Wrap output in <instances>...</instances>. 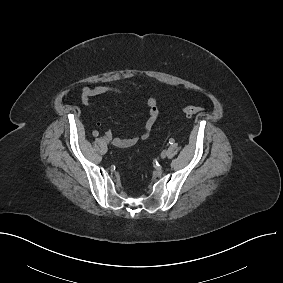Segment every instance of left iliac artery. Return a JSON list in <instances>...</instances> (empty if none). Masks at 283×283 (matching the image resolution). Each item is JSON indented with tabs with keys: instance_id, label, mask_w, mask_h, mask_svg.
Returning a JSON list of instances; mask_svg holds the SVG:
<instances>
[{
	"instance_id": "left-iliac-artery-1",
	"label": "left iliac artery",
	"mask_w": 283,
	"mask_h": 283,
	"mask_svg": "<svg viewBox=\"0 0 283 283\" xmlns=\"http://www.w3.org/2000/svg\"><path fill=\"white\" fill-rule=\"evenodd\" d=\"M174 142H175V141H174L173 138L169 139V143H170V144H173Z\"/></svg>"
}]
</instances>
